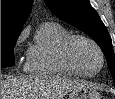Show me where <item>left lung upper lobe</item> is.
<instances>
[{
  "label": "left lung upper lobe",
  "instance_id": "left-lung-upper-lobe-1",
  "mask_svg": "<svg viewBox=\"0 0 115 99\" xmlns=\"http://www.w3.org/2000/svg\"><path fill=\"white\" fill-rule=\"evenodd\" d=\"M53 14L88 34L102 49L115 84V56L111 37L88 0H44Z\"/></svg>",
  "mask_w": 115,
  "mask_h": 99
}]
</instances>
